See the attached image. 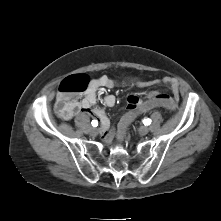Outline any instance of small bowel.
<instances>
[{"instance_id": "c3829d8e", "label": "small bowel", "mask_w": 221, "mask_h": 221, "mask_svg": "<svg viewBox=\"0 0 221 221\" xmlns=\"http://www.w3.org/2000/svg\"><path fill=\"white\" fill-rule=\"evenodd\" d=\"M154 83H163L170 88L172 96L171 99L177 102L179 97V84L176 79L165 77L162 80H155ZM116 85L115 81L106 75H101L90 82L89 88L86 91L82 99H74L71 103V113L69 118H71L74 113H86L93 117H96L101 125V132L103 138L106 141H110L113 136V130L111 129L110 120L102 108L95 107L97 102L96 92L100 88H113ZM155 94H163V92L152 93L150 90L137 91L135 94H131L128 97L127 111L130 108L135 107L137 104H141L144 101H150L153 99ZM115 97L113 95H106L104 97V105L106 107H113L115 104ZM124 115V114H123ZM129 126V125H128ZM117 135V134H116ZM119 138V136L117 135Z\"/></svg>"}]
</instances>
